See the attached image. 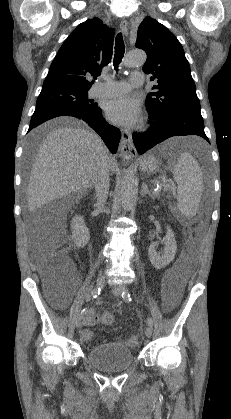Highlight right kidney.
<instances>
[{"mask_svg":"<svg viewBox=\"0 0 231 419\" xmlns=\"http://www.w3.org/2000/svg\"><path fill=\"white\" fill-rule=\"evenodd\" d=\"M72 239L78 248L87 245L90 239L89 230L85 225L84 219L80 215H76L71 221Z\"/></svg>","mask_w":231,"mask_h":419,"instance_id":"1","label":"right kidney"}]
</instances>
